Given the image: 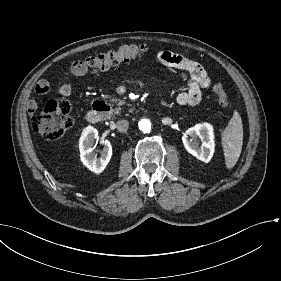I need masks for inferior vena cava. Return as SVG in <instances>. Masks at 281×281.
<instances>
[{
    "mask_svg": "<svg viewBox=\"0 0 281 281\" xmlns=\"http://www.w3.org/2000/svg\"><path fill=\"white\" fill-rule=\"evenodd\" d=\"M129 127V122L127 120H118L116 122V128L119 132H126Z\"/></svg>",
    "mask_w": 281,
    "mask_h": 281,
    "instance_id": "1",
    "label": "inferior vena cava"
}]
</instances>
